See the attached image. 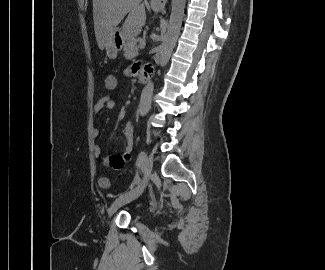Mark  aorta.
<instances>
[{
	"label": "aorta",
	"instance_id": "762f6f07",
	"mask_svg": "<svg viewBox=\"0 0 325 270\" xmlns=\"http://www.w3.org/2000/svg\"><path fill=\"white\" fill-rule=\"evenodd\" d=\"M185 1L186 0H172V9L168 23L167 33L165 35L164 41L160 46L161 63L168 62L173 48L176 45L184 16ZM153 90L154 84L152 82H148L142 91L141 100L139 104V112L142 116L146 115L150 110Z\"/></svg>",
	"mask_w": 325,
	"mask_h": 270
}]
</instances>
